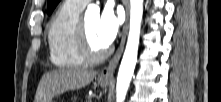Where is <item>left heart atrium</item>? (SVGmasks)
Listing matches in <instances>:
<instances>
[{
  "instance_id": "1",
  "label": "left heart atrium",
  "mask_w": 221,
  "mask_h": 102,
  "mask_svg": "<svg viewBox=\"0 0 221 102\" xmlns=\"http://www.w3.org/2000/svg\"><path fill=\"white\" fill-rule=\"evenodd\" d=\"M121 24V16L111 6L102 11L97 24L96 35L101 44L108 46L115 39Z\"/></svg>"
}]
</instances>
